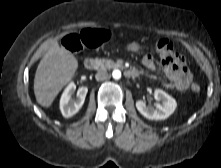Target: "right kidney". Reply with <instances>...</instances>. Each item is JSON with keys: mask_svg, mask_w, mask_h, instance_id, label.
Listing matches in <instances>:
<instances>
[{"mask_svg": "<svg viewBox=\"0 0 221 168\" xmlns=\"http://www.w3.org/2000/svg\"><path fill=\"white\" fill-rule=\"evenodd\" d=\"M76 85L71 82L64 90L60 99V110L65 118L75 115L83 106L85 97L88 92L87 87H81L77 91V99L72 100V95L75 92Z\"/></svg>", "mask_w": 221, "mask_h": 168, "instance_id": "obj_1", "label": "right kidney"}]
</instances>
